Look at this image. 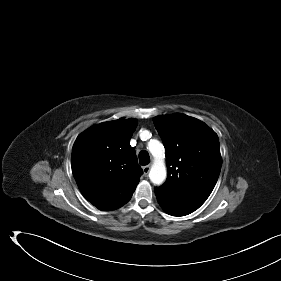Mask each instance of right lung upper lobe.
Wrapping results in <instances>:
<instances>
[{
  "instance_id": "1",
  "label": "right lung upper lobe",
  "mask_w": 281,
  "mask_h": 281,
  "mask_svg": "<svg viewBox=\"0 0 281 281\" xmlns=\"http://www.w3.org/2000/svg\"><path fill=\"white\" fill-rule=\"evenodd\" d=\"M136 119H118L92 126L72 148L71 166L84 197L99 210L110 211L127 203L139 183L138 165L130 138Z\"/></svg>"
}]
</instances>
